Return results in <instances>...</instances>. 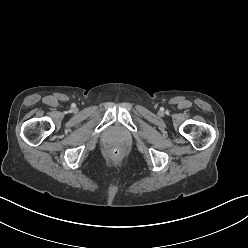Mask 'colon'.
<instances>
[{"label": "colon", "mask_w": 248, "mask_h": 248, "mask_svg": "<svg viewBox=\"0 0 248 248\" xmlns=\"http://www.w3.org/2000/svg\"><path fill=\"white\" fill-rule=\"evenodd\" d=\"M110 155H111L112 157H117V156H119V155H120V149L117 148V147H112V148L110 149Z\"/></svg>", "instance_id": "colon-1"}]
</instances>
